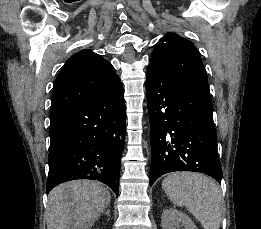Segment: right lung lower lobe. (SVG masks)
<instances>
[{
    "label": "right lung lower lobe",
    "mask_w": 261,
    "mask_h": 229,
    "mask_svg": "<svg viewBox=\"0 0 261 229\" xmlns=\"http://www.w3.org/2000/svg\"><path fill=\"white\" fill-rule=\"evenodd\" d=\"M125 120L124 91L118 78L52 121L46 192L66 181L89 179L105 183L118 196Z\"/></svg>",
    "instance_id": "1"
}]
</instances>
